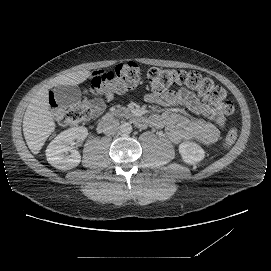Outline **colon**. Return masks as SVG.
Wrapping results in <instances>:
<instances>
[{
	"label": "colon",
	"mask_w": 271,
	"mask_h": 271,
	"mask_svg": "<svg viewBox=\"0 0 271 271\" xmlns=\"http://www.w3.org/2000/svg\"><path fill=\"white\" fill-rule=\"evenodd\" d=\"M147 78L151 91L161 94L174 86H184L202 96L203 100L220 115H230L234 111L232 103L226 100V91L212 79L196 71L149 69ZM140 83V68L133 61L118 64L113 71H101L91 80L90 91L107 97L123 94L134 89ZM54 117L63 125H78L86 122L101 109L99 100H85L79 105L62 106L54 96H50ZM237 138V130L231 128L223 141L224 148H230Z\"/></svg>",
	"instance_id": "obj_1"
}]
</instances>
